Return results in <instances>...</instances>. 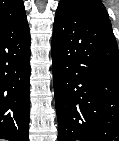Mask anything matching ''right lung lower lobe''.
<instances>
[{
  "label": "right lung lower lobe",
  "instance_id": "1",
  "mask_svg": "<svg viewBox=\"0 0 119 141\" xmlns=\"http://www.w3.org/2000/svg\"><path fill=\"white\" fill-rule=\"evenodd\" d=\"M30 31L27 16L0 21V139L28 141Z\"/></svg>",
  "mask_w": 119,
  "mask_h": 141
}]
</instances>
